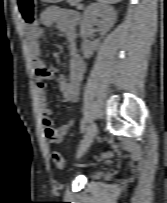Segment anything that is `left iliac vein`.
Wrapping results in <instances>:
<instances>
[{
	"label": "left iliac vein",
	"mask_w": 167,
	"mask_h": 203,
	"mask_svg": "<svg viewBox=\"0 0 167 203\" xmlns=\"http://www.w3.org/2000/svg\"><path fill=\"white\" fill-rule=\"evenodd\" d=\"M96 134H97V125H96V123L93 122L88 126V128L83 136V139L80 142V145H79V148L77 151L78 158L81 157L86 152V150L89 148V146L93 142Z\"/></svg>",
	"instance_id": "left-iliac-vein-1"
}]
</instances>
